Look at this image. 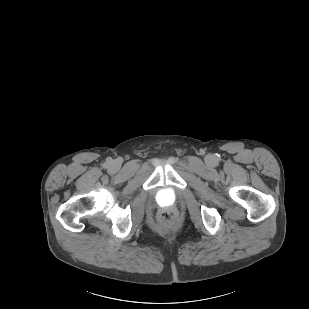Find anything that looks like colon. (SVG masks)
Returning a JSON list of instances; mask_svg holds the SVG:
<instances>
[{
	"label": "colon",
	"mask_w": 309,
	"mask_h": 309,
	"mask_svg": "<svg viewBox=\"0 0 309 309\" xmlns=\"http://www.w3.org/2000/svg\"><path fill=\"white\" fill-rule=\"evenodd\" d=\"M175 214L171 211H163L159 215V222L164 226H169L175 221Z\"/></svg>",
	"instance_id": "1"
}]
</instances>
